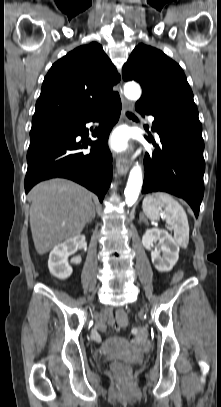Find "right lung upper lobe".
Listing matches in <instances>:
<instances>
[{"instance_id":"cb5924a9","label":"right lung upper lobe","mask_w":221,"mask_h":407,"mask_svg":"<svg viewBox=\"0 0 221 407\" xmlns=\"http://www.w3.org/2000/svg\"><path fill=\"white\" fill-rule=\"evenodd\" d=\"M116 68L96 42L77 47L52 65L36 102L32 129L85 117L119 99Z\"/></svg>"}]
</instances>
